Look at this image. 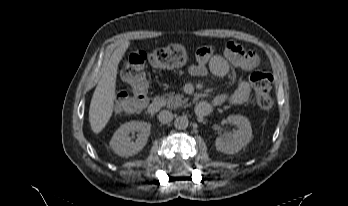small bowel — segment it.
<instances>
[{"label":"small bowel","instance_id":"small-bowel-1","mask_svg":"<svg viewBox=\"0 0 348 206\" xmlns=\"http://www.w3.org/2000/svg\"><path fill=\"white\" fill-rule=\"evenodd\" d=\"M198 51L200 56H196L195 63L188 67V72L192 75H205L210 70L215 76L224 77L229 73L231 65L252 70L259 63L254 52L246 50L235 42L226 45L223 55L214 54L210 46H203ZM250 92L251 88L248 81L240 79L234 91L218 94L215 96L213 104L219 106L229 102L239 105L248 100Z\"/></svg>","mask_w":348,"mask_h":206}]
</instances>
